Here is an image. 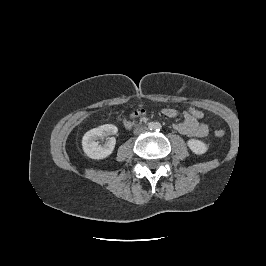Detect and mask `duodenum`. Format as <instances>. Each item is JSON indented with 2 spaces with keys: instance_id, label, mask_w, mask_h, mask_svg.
Masks as SVG:
<instances>
[{
  "instance_id": "duodenum-1",
  "label": "duodenum",
  "mask_w": 266,
  "mask_h": 266,
  "mask_svg": "<svg viewBox=\"0 0 266 266\" xmlns=\"http://www.w3.org/2000/svg\"><path fill=\"white\" fill-rule=\"evenodd\" d=\"M135 126H136V124H135L134 122H132V121H126V122H124V127H125V129H127V130L132 129V128H134Z\"/></svg>"
}]
</instances>
